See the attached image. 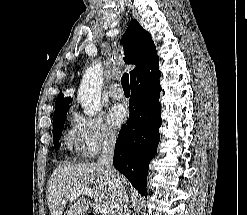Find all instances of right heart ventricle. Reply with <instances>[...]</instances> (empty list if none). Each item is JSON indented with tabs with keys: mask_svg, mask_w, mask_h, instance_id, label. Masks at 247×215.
<instances>
[{
	"mask_svg": "<svg viewBox=\"0 0 247 215\" xmlns=\"http://www.w3.org/2000/svg\"><path fill=\"white\" fill-rule=\"evenodd\" d=\"M66 143L67 145L69 146H72L74 144H76V139L74 138L73 134H72V131L69 132L67 135H66Z\"/></svg>",
	"mask_w": 247,
	"mask_h": 215,
	"instance_id": "e07e8e85",
	"label": "right heart ventricle"
}]
</instances>
